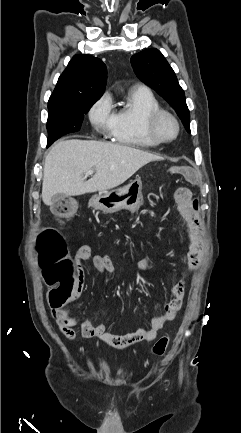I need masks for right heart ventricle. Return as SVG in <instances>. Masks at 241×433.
<instances>
[{"instance_id":"obj_1","label":"right heart ventricle","mask_w":241,"mask_h":433,"mask_svg":"<svg viewBox=\"0 0 241 433\" xmlns=\"http://www.w3.org/2000/svg\"><path fill=\"white\" fill-rule=\"evenodd\" d=\"M158 109H161L160 103L149 89L133 88L125 103L114 113L113 140L143 149L157 147L159 144L148 136L145 123L148 115Z\"/></svg>"}]
</instances>
